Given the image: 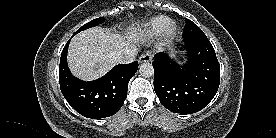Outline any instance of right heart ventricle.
Segmentation results:
<instances>
[{"label": "right heart ventricle", "instance_id": "obj_1", "mask_svg": "<svg viewBox=\"0 0 276 138\" xmlns=\"http://www.w3.org/2000/svg\"><path fill=\"white\" fill-rule=\"evenodd\" d=\"M169 18L164 15L157 16L147 23H145L141 28L140 32L145 36H155L161 33L165 27V25L169 22Z\"/></svg>", "mask_w": 276, "mask_h": 138}]
</instances>
